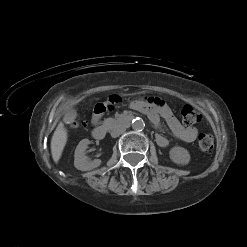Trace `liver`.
<instances>
[{
    "instance_id": "obj_1",
    "label": "liver",
    "mask_w": 247,
    "mask_h": 247,
    "mask_svg": "<svg viewBox=\"0 0 247 247\" xmlns=\"http://www.w3.org/2000/svg\"><path fill=\"white\" fill-rule=\"evenodd\" d=\"M67 138V129L64 127V124L60 122L51 139V154L55 163H58L61 158Z\"/></svg>"
}]
</instances>
